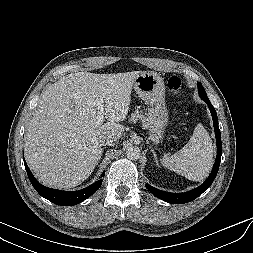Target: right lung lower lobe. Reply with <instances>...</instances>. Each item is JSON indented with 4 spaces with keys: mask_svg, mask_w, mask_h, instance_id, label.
I'll return each instance as SVG.
<instances>
[{
    "mask_svg": "<svg viewBox=\"0 0 253 253\" xmlns=\"http://www.w3.org/2000/svg\"><path fill=\"white\" fill-rule=\"evenodd\" d=\"M25 169L27 171L30 182L32 183L35 190L44 198L51 201L54 204L61 206H70L78 204L88 197H90L102 184V180H98L92 185L78 190V191H61L52 188H48L40 184L35 177L32 175L30 169L28 168L25 160ZM104 176V173L102 174Z\"/></svg>",
    "mask_w": 253,
    "mask_h": 253,
    "instance_id": "right-lung-lower-lobe-1",
    "label": "right lung lower lobe"
}]
</instances>
